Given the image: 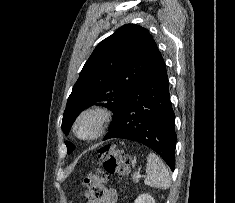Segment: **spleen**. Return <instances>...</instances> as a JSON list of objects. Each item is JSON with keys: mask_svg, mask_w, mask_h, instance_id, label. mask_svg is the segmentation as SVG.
I'll list each match as a JSON object with an SVG mask.
<instances>
[{"mask_svg": "<svg viewBox=\"0 0 235 203\" xmlns=\"http://www.w3.org/2000/svg\"><path fill=\"white\" fill-rule=\"evenodd\" d=\"M146 178L144 183L151 187L168 189L171 179L162 160L154 153H149L146 164Z\"/></svg>", "mask_w": 235, "mask_h": 203, "instance_id": "1", "label": "spleen"}]
</instances>
